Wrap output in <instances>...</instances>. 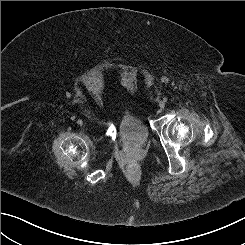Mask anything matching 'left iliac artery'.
<instances>
[{
    "mask_svg": "<svg viewBox=\"0 0 245 245\" xmlns=\"http://www.w3.org/2000/svg\"><path fill=\"white\" fill-rule=\"evenodd\" d=\"M163 101H164V102H167V98H166V97H165V98H163Z\"/></svg>",
    "mask_w": 245,
    "mask_h": 245,
    "instance_id": "obj_1",
    "label": "left iliac artery"
}]
</instances>
